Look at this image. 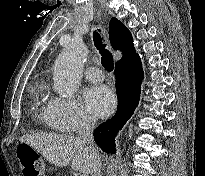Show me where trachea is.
<instances>
[{"mask_svg": "<svg viewBox=\"0 0 205 176\" xmlns=\"http://www.w3.org/2000/svg\"><path fill=\"white\" fill-rule=\"evenodd\" d=\"M100 30L93 33V41L96 48L99 50L101 55V63L107 71H112L114 68V62L111 53L106 49V45L103 44L100 35Z\"/></svg>", "mask_w": 205, "mask_h": 176, "instance_id": "obj_1", "label": "trachea"}]
</instances>
